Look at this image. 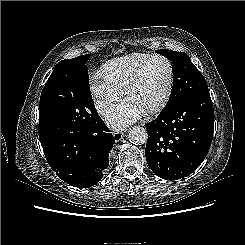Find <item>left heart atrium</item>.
Instances as JSON below:
<instances>
[{
    "instance_id": "obj_1",
    "label": "left heart atrium",
    "mask_w": 245,
    "mask_h": 245,
    "mask_svg": "<svg viewBox=\"0 0 245 245\" xmlns=\"http://www.w3.org/2000/svg\"><path fill=\"white\" fill-rule=\"evenodd\" d=\"M145 111L139 103L127 97L107 112L106 121L113 128H125L140 119Z\"/></svg>"
}]
</instances>
